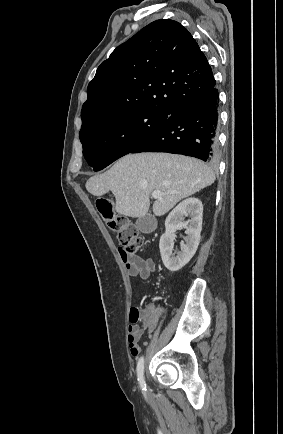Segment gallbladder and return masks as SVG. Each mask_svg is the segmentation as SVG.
Wrapping results in <instances>:
<instances>
[{"mask_svg": "<svg viewBox=\"0 0 283 434\" xmlns=\"http://www.w3.org/2000/svg\"><path fill=\"white\" fill-rule=\"evenodd\" d=\"M156 225V219L150 214H146L136 221V228L146 234L153 232L156 229Z\"/></svg>", "mask_w": 283, "mask_h": 434, "instance_id": "obj_1", "label": "gallbladder"}]
</instances>
